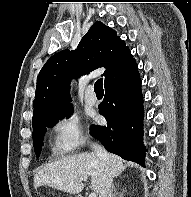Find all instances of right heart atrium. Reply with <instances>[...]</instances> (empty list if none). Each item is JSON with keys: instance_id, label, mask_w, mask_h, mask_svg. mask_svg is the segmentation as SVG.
I'll return each instance as SVG.
<instances>
[{"instance_id": "d8ad5b80", "label": "right heart atrium", "mask_w": 191, "mask_h": 197, "mask_svg": "<svg viewBox=\"0 0 191 197\" xmlns=\"http://www.w3.org/2000/svg\"><path fill=\"white\" fill-rule=\"evenodd\" d=\"M82 122L75 113L59 118L53 126V152L65 155L73 152L86 143Z\"/></svg>"}]
</instances>
